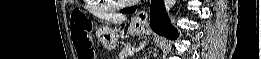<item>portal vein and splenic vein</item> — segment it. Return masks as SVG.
Segmentation results:
<instances>
[{"mask_svg": "<svg viewBox=\"0 0 261 59\" xmlns=\"http://www.w3.org/2000/svg\"><path fill=\"white\" fill-rule=\"evenodd\" d=\"M134 54L133 51H129V55L132 56Z\"/></svg>", "mask_w": 261, "mask_h": 59, "instance_id": "18ae733b", "label": "portal vein and splenic vein"}]
</instances>
